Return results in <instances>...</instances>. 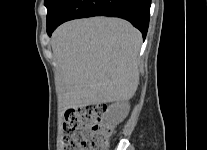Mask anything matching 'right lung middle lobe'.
Segmentation results:
<instances>
[{
	"label": "right lung middle lobe",
	"instance_id": "dd1d6c3e",
	"mask_svg": "<svg viewBox=\"0 0 207 150\" xmlns=\"http://www.w3.org/2000/svg\"><path fill=\"white\" fill-rule=\"evenodd\" d=\"M66 0H45V6L48 10L47 13V23L51 21L54 16L57 14L61 6L65 3Z\"/></svg>",
	"mask_w": 207,
	"mask_h": 150
}]
</instances>
